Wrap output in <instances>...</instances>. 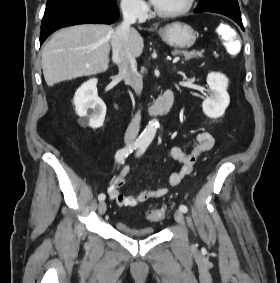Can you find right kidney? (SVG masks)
I'll use <instances>...</instances> for the list:
<instances>
[{"instance_id":"ca27d5eb","label":"right kidney","mask_w":280,"mask_h":283,"mask_svg":"<svg viewBox=\"0 0 280 283\" xmlns=\"http://www.w3.org/2000/svg\"><path fill=\"white\" fill-rule=\"evenodd\" d=\"M96 86L97 79H90L78 88L74 96L75 110L80 117L78 123L93 129L103 126L106 115V105L98 97Z\"/></svg>"}]
</instances>
